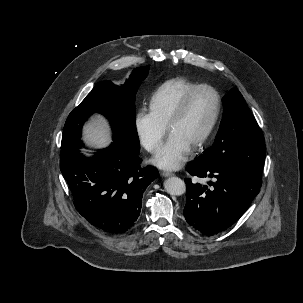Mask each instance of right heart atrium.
I'll return each mask as SVG.
<instances>
[{"label":"right heart atrium","mask_w":303,"mask_h":303,"mask_svg":"<svg viewBox=\"0 0 303 303\" xmlns=\"http://www.w3.org/2000/svg\"><path fill=\"white\" fill-rule=\"evenodd\" d=\"M133 125L140 144L148 152H155L163 140L167 126L162 124L151 111L145 109L135 113Z\"/></svg>","instance_id":"d8ad5b80"}]
</instances>
